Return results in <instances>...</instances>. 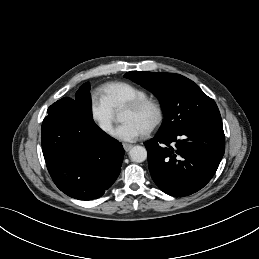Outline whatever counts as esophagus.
I'll use <instances>...</instances> for the list:
<instances>
[{
  "label": "esophagus",
  "instance_id": "obj_1",
  "mask_svg": "<svg viewBox=\"0 0 259 259\" xmlns=\"http://www.w3.org/2000/svg\"><path fill=\"white\" fill-rule=\"evenodd\" d=\"M133 145L131 144H128V143H123V148L126 152H128L131 148H132Z\"/></svg>",
  "mask_w": 259,
  "mask_h": 259
}]
</instances>
